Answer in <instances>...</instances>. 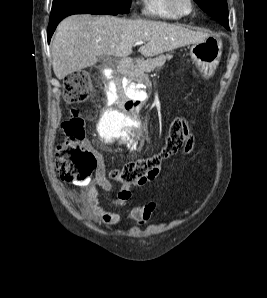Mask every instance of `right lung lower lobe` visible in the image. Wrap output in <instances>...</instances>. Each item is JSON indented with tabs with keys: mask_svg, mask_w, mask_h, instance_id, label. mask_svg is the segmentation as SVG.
Returning <instances> with one entry per match:
<instances>
[{
	"mask_svg": "<svg viewBox=\"0 0 267 298\" xmlns=\"http://www.w3.org/2000/svg\"><path fill=\"white\" fill-rule=\"evenodd\" d=\"M59 22L60 21H56L54 23H49L48 31H47L48 42L50 41L51 36H52L53 32L55 31V29H56Z\"/></svg>",
	"mask_w": 267,
	"mask_h": 298,
	"instance_id": "obj_1",
	"label": "right lung lower lobe"
}]
</instances>
